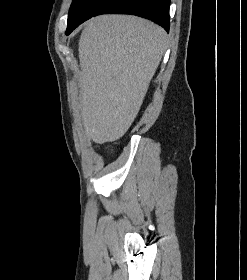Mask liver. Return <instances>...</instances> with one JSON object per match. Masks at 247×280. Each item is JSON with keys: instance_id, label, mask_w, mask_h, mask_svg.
Instances as JSON below:
<instances>
[{"instance_id": "1", "label": "liver", "mask_w": 247, "mask_h": 280, "mask_svg": "<svg viewBox=\"0 0 247 280\" xmlns=\"http://www.w3.org/2000/svg\"><path fill=\"white\" fill-rule=\"evenodd\" d=\"M167 45L158 25L131 15L90 19L79 40L81 111L95 142L122 137L136 118Z\"/></svg>"}]
</instances>
